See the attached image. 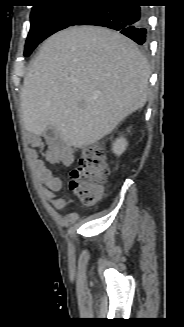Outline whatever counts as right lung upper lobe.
I'll return each mask as SVG.
<instances>
[{"mask_svg":"<svg viewBox=\"0 0 184 327\" xmlns=\"http://www.w3.org/2000/svg\"><path fill=\"white\" fill-rule=\"evenodd\" d=\"M37 1L38 3H43V2H48V1H52V0H35Z\"/></svg>","mask_w":184,"mask_h":327,"instance_id":"right-lung-upper-lobe-1","label":"right lung upper lobe"}]
</instances>
